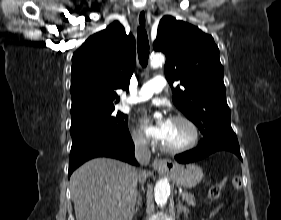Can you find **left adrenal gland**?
<instances>
[{
  "label": "left adrenal gland",
  "mask_w": 281,
  "mask_h": 220,
  "mask_svg": "<svg viewBox=\"0 0 281 220\" xmlns=\"http://www.w3.org/2000/svg\"><path fill=\"white\" fill-rule=\"evenodd\" d=\"M179 197H180V195H179ZM179 197H178L177 213L180 214L183 212L184 215L187 217L189 210L185 206L182 205Z\"/></svg>",
  "instance_id": "1"
}]
</instances>
